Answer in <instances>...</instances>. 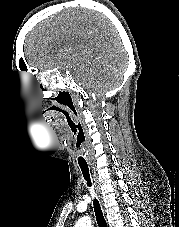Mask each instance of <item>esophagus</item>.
I'll return each instance as SVG.
<instances>
[{
    "label": "esophagus",
    "instance_id": "34e87169",
    "mask_svg": "<svg viewBox=\"0 0 179 227\" xmlns=\"http://www.w3.org/2000/svg\"><path fill=\"white\" fill-rule=\"evenodd\" d=\"M93 180H94V187H95V191H96L98 200H99V202L101 204V207H102L103 212L105 213V208H104V203H103V199H102L100 185H99V182H98V180H97V178H96L95 175H94Z\"/></svg>",
    "mask_w": 179,
    "mask_h": 227
}]
</instances>
